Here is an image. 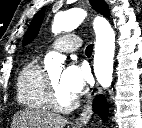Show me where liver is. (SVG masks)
Masks as SVG:
<instances>
[{
  "mask_svg": "<svg viewBox=\"0 0 142 128\" xmlns=\"http://www.w3.org/2000/svg\"><path fill=\"white\" fill-rule=\"evenodd\" d=\"M67 120L45 109L18 111L12 120L11 128H64Z\"/></svg>",
  "mask_w": 142,
  "mask_h": 128,
  "instance_id": "1",
  "label": "liver"
}]
</instances>
